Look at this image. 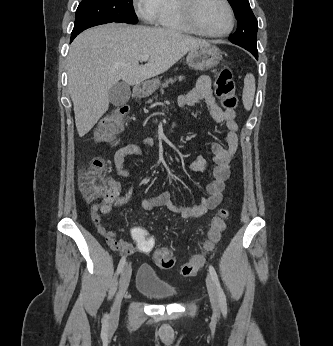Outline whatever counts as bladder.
<instances>
[{
	"label": "bladder",
	"mask_w": 333,
	"mask_h": 346,
	"mask_svg": "<svg viewBox=\"0 0 333 346\" xmlns=\"http://www.w3.org/2000/svg\"><path fill=\"white\" fill-rule=\"evenodd\" d=\"M136 288L157 301L171 300L177 295V291L148 265L140 266L136 278Z\"/></svg>",
	"instance_id": "1"
}]
</instances>
